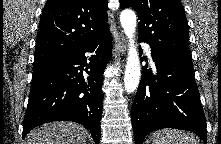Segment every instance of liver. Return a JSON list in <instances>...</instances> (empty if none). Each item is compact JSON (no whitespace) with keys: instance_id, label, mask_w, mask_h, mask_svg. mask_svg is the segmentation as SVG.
Masks as SVG:
<instances>
[{"instance_id":"6515ba94","label":"liver","mask_w":221,"mask_h":144,"mask_svg":"<svg viewBox=\"0 0 221 144\" xmlns=\"http://www.w3.org/2000/svg\"><path fill=\"white\" fill-rule=\"evenodd\" d=\"M87 130L73 122L57 121L32 130L25 144H86Z\"/></svg>"}]
</instances>
